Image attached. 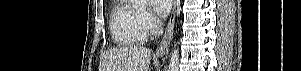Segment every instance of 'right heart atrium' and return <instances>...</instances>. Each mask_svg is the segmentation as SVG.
Instances as JSON below:
<instances>
[{"label":"right heart atrium","mask_w":301,"mask_h":71,"mask_svg":"<svg viewBox=\"0 0 301 71\" xmlns=\"http://www.w3.org/2000/svg\"><path fill=\"white\" fill-rule=\"evenodd\" d=\"M140 21L147 34H153L158 28L157 20L149 11H142L140 13Z\"/></svg>","instance_id":"obj_1"}]
</instances>
